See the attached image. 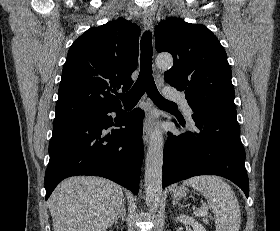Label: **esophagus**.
<instances>
[{
	"mask_svg": "<svg viewBox=\"0 0 280 231\" xmlns=\"http://www.w3.org/2000/svg\"><path fill=\"white\" fill-rule=\"evenodd\" d=\"M143 25L147 31L152 30V15L149 10H145L143 13ZM156 73H159V70L156 69ZM155 113L153 111V107L151 104H147L145 109V117H144V124H143V141L144 144L147 145L149 142L150 133L152 130V123L155 119Z\"/></svg>",
	"mask_w": 280,
	"mask_h": 231,
	"instance_id": "esophagus-1",
	"label": "esophagus"
}]
</instances>
